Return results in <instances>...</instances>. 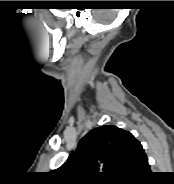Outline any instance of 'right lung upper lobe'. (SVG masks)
<instances>
[{
    "label": "right lung upper lobe",
    "instance_id": "right-lung-upper-lobe-1",
    "mask_svg": "<svg viewBox=\"0 0 174 184\" xmlns=\"http://www.w3.org/2000/svg\"><path fill=\"white\" fill-rule=\"evenodd\" d=\"M146 158L140 142L130 132L103 125L87 133L77 150L54 172L63 183H118Z\"/></svg>",
    "mask_w": 174,
    "mask_h": 184
}]
</instances>
